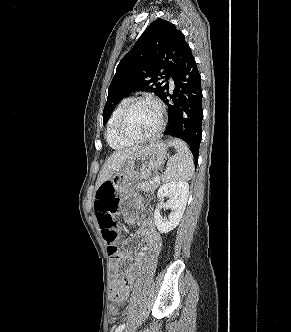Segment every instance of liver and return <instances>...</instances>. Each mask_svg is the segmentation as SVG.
Returning a JSON list of instances; mask_svg holds the SVG:
<instances>
[{
    "label": "liver",
    "mask_w": 291,
    "mask_h": 332,
    "mask_svg": "<svg viewBox=\"0 0 291 332\" xmlns=\"http://www.w3.org/2000/svg\"><path fill=\"white\" fill-rule=\"evenodd\" d=\"M140 149L141 147H134L125 150H119L111 154L102 167L101 172L99 173L96 187L98 188L104 182L109 180L113 174L120 170L122 165Z\"/></svg>",
    "instance_id": "1"
}]
</instances>
